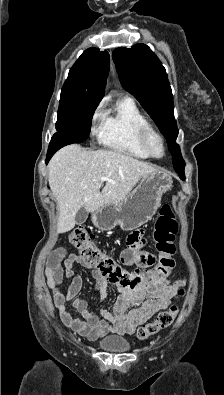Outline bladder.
I'll return each mask as SVG.
<instances>
[{"label":"bladder","instance_id":"obj_1","mask_svg":"<svg viewBox=\"0 0 224 395\" xmlns=\"http://www.w3.org/2000/svg\"><path fill=\"white\" fill-rule=\"evenodd\" d=\"M98 347L105 352L126 353L130 350V342L123 337L109 336L98 343Z\"/></svg>","mask_w":224,"mask_h":395}]
</instances>
